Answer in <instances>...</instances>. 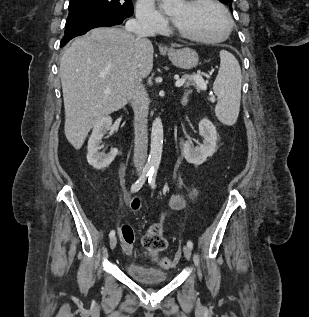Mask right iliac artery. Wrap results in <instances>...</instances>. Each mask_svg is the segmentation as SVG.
I'll return each mask as SVG.
<instances>
[{"label": "right iliac artery", "mask_w": 309, "mask_h": 317, "mask_svg": "<svg viewBox=\"0 0 309 317\" xmlns=\"http://www.w3.org/2000/svg\"><path fill=\"white\" fill-rule=\"evenodd\" d=\"M153 170V166L151 165H146L142 171L141 176L139 177V179L131 186V192H137L141 189V187L143 186V184L145 183L147 177L151 174ZM115 236V231L112 230L109 233V237L112 238Z\"/></svg>", "instance_id": "right-iliac-artery-1"}]
</instances>
